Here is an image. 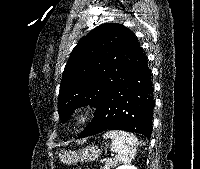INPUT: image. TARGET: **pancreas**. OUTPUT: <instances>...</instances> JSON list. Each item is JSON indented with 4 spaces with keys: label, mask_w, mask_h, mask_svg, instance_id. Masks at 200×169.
<instances>
[{
    "label": "pancreas",
    "mask_w": 200,
    "mask_h": 169,
    "mask_svg": "<svg viewBox=\"0 0 200 169\" xmlns=\"http://www.w3.org/2000/svg\"><path fill=\"white\" fill-rule=\"evenodd\" d=\"M117 163H118L117 159H111V160L105 162L104 166L101 167V169H111L114 166H116Z\"/></svg>",
    "instance_id": "obj_1"
}]
</instances>
